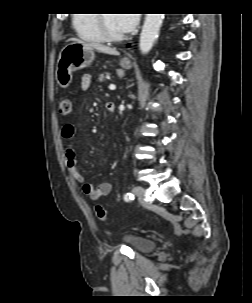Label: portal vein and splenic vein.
I'll return each instance as SVG.
<instances>
[{"mask_svg":"<svg viewBox=\"0 0 252 303\" xmlns=\"http://www.w3.org/2000/svg\"><path fill=\"white\" fill-rule=\"evenodd\" d=\"M109 89H110V90H115V89H116V86H115L114 84H110V85H109Z\"/></svg>","mask_w":252,"mask_h":303,"instance_id":"obj_1","label":"portal vein and splenic vein"}]
</instances>
